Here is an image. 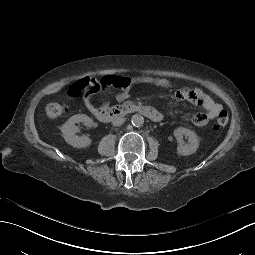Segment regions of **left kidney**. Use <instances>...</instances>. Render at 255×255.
<instances>
[{"label":"left kidney","mask_w":255,"mask_h":255,"mask_svg":"<svg viewBox=\"0 0 255 255\" xmlns=\"http://www.w3.org/2000/svg\"><path fill=\"white\" fill-rule=\"evenodd\" d=\"M174 136L177 139L178 146H177V152L180 155H190L196 152V150L199 147V140L195 132L179 127L174 130ZM183 136H187L188 144H186L183 140Z\"/></svg>","instance_id":"1"}]
</instances>
